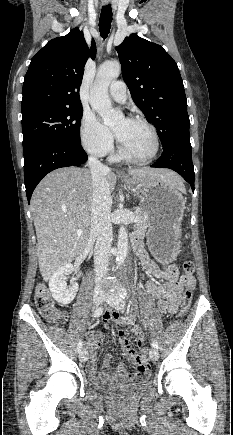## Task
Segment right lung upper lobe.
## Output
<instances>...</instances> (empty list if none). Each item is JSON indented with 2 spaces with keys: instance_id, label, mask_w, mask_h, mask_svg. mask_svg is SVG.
<instances>
[{
  "instance_id": "obj_1",
  "label": "right lung upper lobe",
  "mask_w": 233,
  "mask_h": 435,
  "mask_svg": "<svg viewBox=\"0 0 233 435\" xmlns=\"http://www.w3.org/2000/svg\"><path fill=\"white\" fill-rule=\"evenodd\" d=\"M95 56V42L89 50L79 28L50 40L31 59L25 75L22 115L46 108L82 107L79 89L84 67L88 57Z\"/></svg>"
}]
</instances>
